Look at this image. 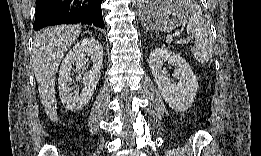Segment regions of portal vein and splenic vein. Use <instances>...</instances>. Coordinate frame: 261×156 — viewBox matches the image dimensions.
Returning a JSON list of instances; mask_svg holds the SVG:
<instances>
[{
	"label": "portal vein and splenic vein",
	"mask_w": 261,
	"mask_h": 156,
	"mask_svg": "<svg viewBox=\"0 0 261 156\" xmlns=\"http://www.w3.org/2000/svg\"><path fill=\"white\" fill-rule=\"evenodd\" d=\"M177 43H180V44L192 43V41L190 39H188V40H180V41H177Z\"/></svg>",
	"instance_id": "18ae733b"
}]
</instances>
